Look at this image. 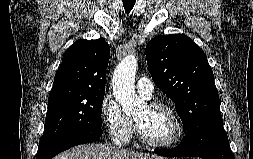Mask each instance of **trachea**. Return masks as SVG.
I'll return each mask as SVG.
<instances>
[{
	"label": "trachea",
	"instance_id": "1",
	"mask_svg": "<svg viewBox=\"0 0 253 159\" xmlns=\"http://www.w3.org/2000/svg\"><path fill=\"white\" fill-rule=\"evenodd\" d=\"M122 2L127 13H129L135 5V0H123Z\"/></svg>",
	"mask_w": 253,
	"mask_h": 159
}]
</instances>
